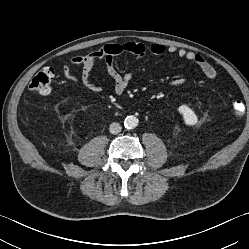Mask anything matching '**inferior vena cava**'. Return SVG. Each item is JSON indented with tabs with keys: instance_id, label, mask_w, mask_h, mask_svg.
<instances>
[{
	"instance_id": "obj_1",
	"label": "inferior vena cava",
	"mask_w": 249,
	"mask_h": 249,
	"mask_svg": "<svg viewBox=\"0 0 249 249\" xmlns=\"http://www.w3.org/2000/svg\"><path fill=\"white\" fill-rule=\"evenodd\" d=\"M122 127L119 123L113 122L109 126V131L112 134H118L121 131Z\"/></svg>"
}]
</instances>
